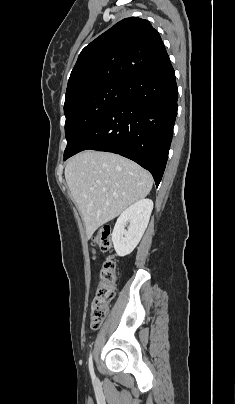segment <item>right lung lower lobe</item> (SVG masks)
I'll return each instance as SVG.
<instances>
[{
	"label": "right lung lower lobe",
	"mask_w": 235,
	"mask_h": 404,
	"mask_svg": "<svg viewBox=\"0 0 235 404\" xmlns=\"http://www.w3.org/2000/svg\"><path fill=\"white\" fill-rule=\"evenodd\" d=\"M177 98L175 72L168 57L125 82L121 100L64 160L86 149L120 154L149 170L158 186L172 140Z\"/></svg>",
	"instance_id": "98d812e1"
}]
</instances>
